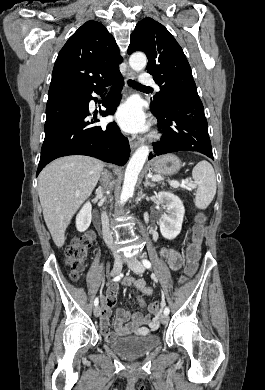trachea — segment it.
<instances>
[{
	"label": "trachea",
	"mask_w": 265,
	"mask_h": 390,
	"mask_svg": "<svg viewBox=\"0 0 265 390\" xmlns=\"http://www.w3.org/2000/svg\"><path fill=\"white\" fill-rule=\"evenodd\" d=\"M128 85L133 87V88H149V87L141 85L140 83L133 81V80H128Z\"/></svg>",
	"instance_id": "trachea-1"
}]
</instances>
